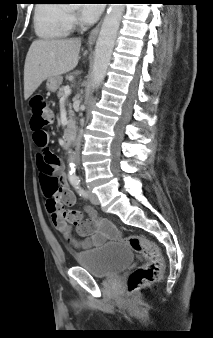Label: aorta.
Returning a JSON list of instances; mask_svg holds the SVG:
<instances>
[{
  "mask_svg": "<svg viewBox=\"0 0 213 338\" xmlns=\"http://www.w3.org/2000/svg\"><path fill=\"white\" fill-rule=\"evenodd\" d=\"M123 11V4H111L102 22L95 46V57L92 71L93 88H98L106 76L117 33L122 20ZM74 177L75 174H70V178Z\"/></svg>",
  "mask_w": 213,
  "mask_h": 338,
  "instance_id": "aorta-1",
  "label": "aorta"
}]
</instances>
